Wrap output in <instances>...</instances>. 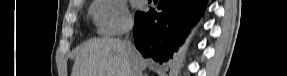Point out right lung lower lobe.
<instances>
[{
	"mask_svg": "<svg viewBox=\"0 0 287 76\" xmlns=\"http://www.w3.org/2000/svg\"><path fill=\"white\" fill-rule=\"evenodd\" d=\"M207 0H159L157 13L135 15L134 44L141 54L162 63L170 60L202 15Z\"/></svg>",
	"mask_w": 287,
	"mask_h": 76,
	"instance_id": "98d812e1",
	"label": "right lung lower lobe"
}]
</instances>
